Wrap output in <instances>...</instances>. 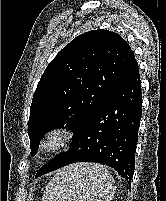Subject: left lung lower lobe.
Instances as JSON below:
<instances>
[{
	"label": "left lung lower lobe",
	"mask_w": 166,
	"mask_h": 201,
	"mask_svg": "<svg viewBox=\"0 0 166 201\" xmlns=\"http://www.w3.org/2000/svg\"><path fill=\"white\" fill-rule=\"evenodd\" d=\"M141 81L136 59L124 76L74 133L66 153L43 165L36 177L76 162H96L114 168L129 186L141 119Z\"/></svg>",
	"instance_id": "1"
}]
</instances>
